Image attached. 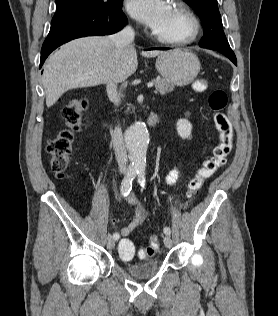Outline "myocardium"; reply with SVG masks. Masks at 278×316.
Returning a JSON list of instances; mask_svg holds the SVG:
<instances>
[{
  "label": "myocardium",
  "instance_id": "1",
  "mask_svg": "<svg viewBox=\"0 0 278 316\" xmlns=\"http://www.w3.org/2000/svg\"><path fill=\"white\" fill-rule=\"evenodd\" d=\"M172 8L181 13L188 21V31L177 37H169L153 32V37L160 43L183 46L194 42L200 32V21L195 12L184 2L176 1L172 4Z\"/></svg>",
  "mask_w": 278,
  "mask_h": 316
}]
</instances>
